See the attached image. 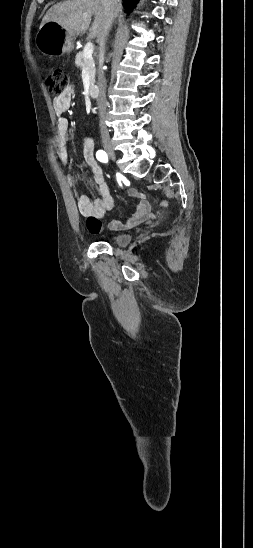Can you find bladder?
<instances>
[{
  "instance_id": "31cf9c89",
  "label": "bladder",
  "mask_w": 253,
  "mask_h": 548,
  "mask_svg": "<svg viewBox=\"0 0 253 548\" xmlns=\"http://www.w3.org/2000/svg\"><path fill=\"white\" fill-rule=\"evenodd\" d=\"M107 239L118 245H126L130 242L131 235L127 233H117L109 235Z\"/></svg>"
}]
</instances>
